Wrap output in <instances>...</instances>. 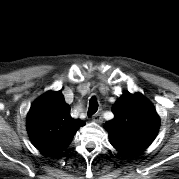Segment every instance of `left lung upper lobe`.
Masks as SVG:
<instances>
[{"label":"left lung upper lobe","mask_w":179,"mask_h":179,"mask_svg":"<svg viewBox=\"0 0 179 179\" xmlns=\"http://www.w3.org/2000/svg\"><path fill=\"white\" fill-rule=\"evenodd\" d=\"M114 119L105 124L110 143L133 152L145 150L155 139L160 119L152 103L141 94L124 93L113 105Z\"/></svg>","instance_id":"left-lung-upper-lobe-1"}]
</instances>
